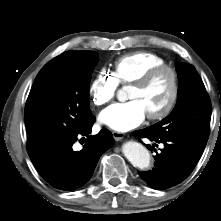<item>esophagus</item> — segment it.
Instances as JSON below:
<instances>
[{"instance_id": "1", "label": "esophagus", "mask_w": 221, "mask_h": 221, "mask_svg": "<svg viewBox=\"0 0 221 221\" xmlns=\"http://www.w3.org/2000/svg\"><path fill=\"white\" fill-rule=\"evenodd\" d=\"M112 136H113V138H114L116 141H119V140H122V139L124 138L125 134L122 133V132L113 131V132H112Z\"/></svg>"}]
</instances>
